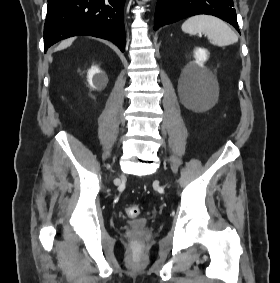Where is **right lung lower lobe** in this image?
Instances as JSON below:
<instances>
[{
    "label": "right lung lower lobe",
    "instance_id": "98d812e1",
    "mask_svg": "<svg viewBox=\"0 0 280 283\" xmlns=\"http://www.w3.org/2000/svg\"><path fill=\"white\" fill-rule=\"evenodd\" d=\"M124 4L125 0H48L45 51L62 39L89 35L110 40L124 52Z\"/></svg>",
    "mask_w": 280,
    "mask_h": 283
}]
</instances>
